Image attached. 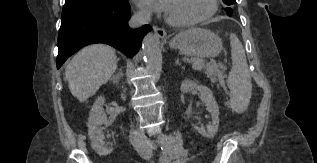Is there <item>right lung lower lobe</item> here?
Segmentation results:
<instances>
[{
  "instance_id": "right-lung-lower-lobe-1",
  "label": "right lung lower lobe",
  "mask_w": 317,
  "mask_h": 163,
  "mask_svg": "<svg viewBox=\"0 0 317 163\" xmlns=\"http://www.w3.org/2000/svg\"><path fill=\"white\" fill-rule=\"evenodd\" d=\"M129 19L130 5L127 1L62 20L58 35L57 68L76 51L91 43H106L130 57L134 56L151 27L144 25L133 30L128 26Z\"/></svg>"
}]
</instances>
